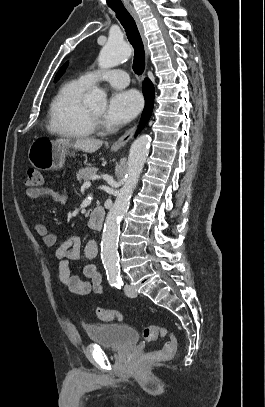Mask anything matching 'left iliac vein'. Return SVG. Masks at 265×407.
I'll list each match as a JSON object with an SVG mask.
<instances>
[{"label": "left iliac vein", "instance_id": "4c4485c4", "mask_svg": "<svg viewBox=\"0 0 265 407\" xmlns=\"http://www.w3.org/2000/svg\"><path fill=\"white\" fill-rule=\"evenodd\" d=\"M124 291H125V294L128 297H136L137 296V292L134 290V288L131 285H128V284L125 285Z\"/></svg>", "mask_w": 265, "mask_h": 407}]
</instances>
